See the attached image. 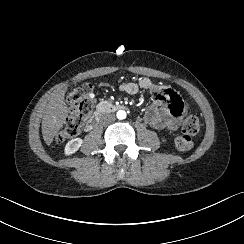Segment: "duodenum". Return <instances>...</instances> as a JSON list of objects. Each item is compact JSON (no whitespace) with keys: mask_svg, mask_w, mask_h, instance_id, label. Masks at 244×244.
<instances>
[{"mask_svg":"<svg viewBox=\"0 0 244 244\" xmlns=\"http://www.w3.org/2000/svg\"><path fill=\"white\" fill-rule=\"evenodd\" d=\"M105 108H108L111 110H121L124 108V105L120 104V103L109 104V105L102 103L101 106L99 107V109L96 111L94 118L89 122L88 129H93V127L95 126V120L102 114V112Z\"/></svg>","mask_w":244,"mask_h":244,"instance_id":"obj_1","label":"duodenum"}]
</instances>
